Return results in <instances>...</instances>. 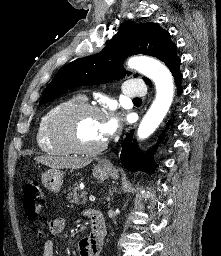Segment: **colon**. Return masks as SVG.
Masks as SVG:
<instances>
[{
    "instance_id": "1",
    "label": "colon",
    "mask_w": 221,
    "mask_h": 256,
    "mask_svg": "<svg viewBox=\"0 0 221 256\" xmlns=\"http://www.w3.org/2000/svg\"><path fill=\"white\" fill-rule=\"evenodd\" d=\"M46 197L35 179H29L24 187V210L30 220H36L45 206Z\"/></svg>"
}]
</instances>
